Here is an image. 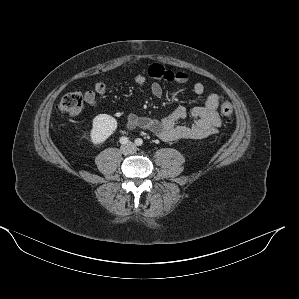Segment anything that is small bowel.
<instances>
[{
  "instance_id": "c3829d8e",
  "label": "small bowel",
  "mask_w": 299,
  "mask_h": 299,
  "mask_svg": "<svg viewBox=\"0 0 299 299\" xmlns=\"http://www.w3.org/2000/svg\"><path fill=\"white\" fill-rule=\"evenodd\" d=\"M148 77L155 80L150 86V93L157 98L163 95V87L159 81L178 84H186L189 81V75L183 71L168 70L159 64H152L148 67L146 73L140 72L136 74L134 82L142 85L147 81ZM109 88L110 85L107 78L99 80L93 90L85 92V102L90 107H97L98 96L106 94ZM193 91L201 95L204 93L205 87L202 83H195ZM219 100L220 96L212 92L208 94L202 106L195 107L189 112L184 107L179 106L161 120L129 113L126 125L130 130H148L163 141L202 139L214 134L222 124L221 117L217 111ZM187 118L192 119V124H180L181 121Z\"/></svg>"
}]
</instances>
